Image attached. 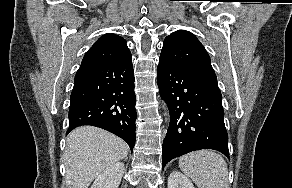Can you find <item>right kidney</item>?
Returning a JSON list of instances; mask_svg holds the SVG:
<instances>
[{
  "instance_id": "right-kidney-1",
  "label": "right kidney",
  "mask_w": 292,
  "mask_h": 188,
  "mask_svg": "<svg viewBox=\"0 0 292 188\" xmlns=\"http://www.w3.org/2000/svg\"><path fill=\"white\" fill-rule=\"evenodd\" d=\"M124 163L116 162L108 166L95 179L91 188H118L124 174Z\"/></svg>"
}]
</instances>
